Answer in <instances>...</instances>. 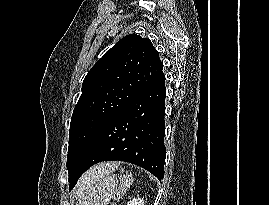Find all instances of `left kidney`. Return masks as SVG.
Returning a JSON list of instances; mask_svg holds the SVG:
<instances>
[{
	"mask_svg": "<svg viewBox=\"0 0 269 205\" xmlns=\"http://www.w3.org/2000/svg\"><path fill=\"white\" fill-rule=\"evenodd\" d=\"M127 205H145L143 198H133L128 201Z\"/></svg>",
	"mask_w": 269,
	"mask_h": 205,
	"instance_id": "5707ae66",
	"label": "left kidney"
}]
</instances>
